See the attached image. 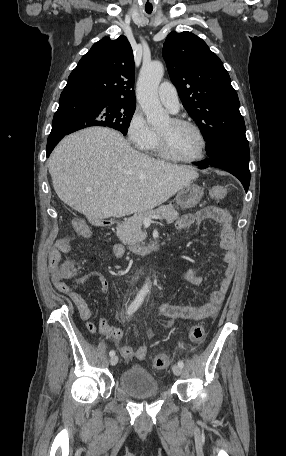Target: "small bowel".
<instances>
[{
    "mask_svg": "<svg viewBox=\"0 0 286 456\" xmlns=\"http://www.w3.org/2000/svg\"><path fill=\"white\" fill-rule=\"evenodd\" d=\"M207 221H214L221 225V246L226 251L224 255V262L226 263V269L224 277L222 278L218 288L211 294L209 300L199 306L192 305H171V304H160L159 312L165 316L170 317L173 321L178 319L185 320H200L214 315L229 289L231 281L233 279L236 261H237V247L234 230L232 228V216L228 209L221 207L207 206L199 209L197 212L192 214H185L176 221V228L179 231L189 229L193 226H201ZM90 235V234H89ZM89 235H83L89 237ZM72 239L63 238L57 242V247L50 252L49 264L51 271V280L54 287L65 293L71 300L75 308L77 309L82 320L87 321V329L89 332L94 333L97 329V325L90 321L91 311L87 305L85 299L78 292L66 284L63 280H59L55 275V269L59 265L61 253L69 252L72 248ZM111 254L122 259L125 254V248L119 244H113L110 246ZM187 281L193 285L198 286L203 282V277L200 276L194 269H189L186 273ZM89 281H96L99 284L100 293L104 294L108 290V283L106 279L97 272H91L85 277L77 281L78 285L85 284ZM173 322L170 324V326ZM99 331L112 339L115 343H119L123 336V330L118 327H112L108 324L105 318H100L98 321ZM121 355L130 360L134 357V349L129 345H122L119 347Z\"/></svg>",
    "mask_w": 286,
    "mask_h": 456,
    "instance_id": "small-bowel-1",
    "label": "small bowel"
}]
</instances>
